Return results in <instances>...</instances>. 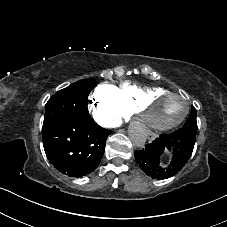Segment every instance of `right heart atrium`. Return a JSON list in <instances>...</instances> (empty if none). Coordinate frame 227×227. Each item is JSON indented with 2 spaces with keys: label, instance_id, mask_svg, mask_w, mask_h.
I'll use <instances>...</instances> for the list:
<instances>
[{
  "label": "right heart atrium",
  "instance_id": "obj_1",
  "mask_svg": "<svg viewBox=\"0 0 227 227\" xmlns=\"http://www.w3.org/2000/svg\"><path fill=\"white\" fill-rule=\"evenodd\" d=\"M92 100V116L104 128H117L129 116L119 90L113 84H99L92 93Z\"/></svg>",
  "mask_w": 227,
  "mask_h": 227
}]
</instances>
